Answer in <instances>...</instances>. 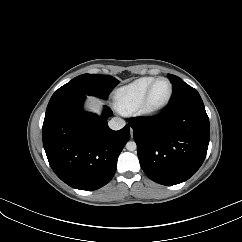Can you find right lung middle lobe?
Instances as JSON below:
<instances>
[{
    "instance_id": "1",
    "label": "right lung middle lobe",
    "mask_w": 242,
    "mask_h": 242,
    "mask_svg": "<svg viewBox=\"0 0 242 242\" xmlns=\"http://www.w3.org/2000/svg\"><path fill=\"white\" fill-rule=\"evenodd\" d=\"M118 83L119 81L110 75L83 74L60 87L52 95L48 106L75 96L94 95L105 99Z\"/></svg>"
}]
</instances>
